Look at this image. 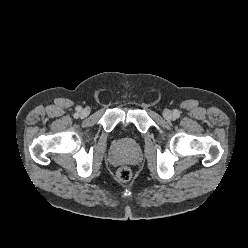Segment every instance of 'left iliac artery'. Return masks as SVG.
<instances>
[{"label":"left iliac artery","instance_id":"1","mask_svg":"<svg viewBox=\"0 0 248 248\" xmlns=\"http://www.w3.org/2000/svg\"><path fill=\"white\" fill-rule=\"evenodd\" d=\"M179 115H180V112H179L178 110H174V111H173V116H174L175 118H178Z\"/></svg>","mask_w":248,"mask_h":248}]
</instances>
